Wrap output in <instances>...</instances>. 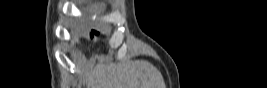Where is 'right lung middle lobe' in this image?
Returning <instances> with one entry per match:
<instances>
[{
    "mask_svg": "<svg viewBox=\"0 0 267 88\" xmlns=\"http://www.w3.org/2000/svg\"><path fill=\"white\" fill-rule=\"evenodd\" d=\"M92 33L95 34V35H98L99 34V32L94 31V30H92ZM93 34H90L91 38L93 37Z\"/></svg>",
    "mask_w": 267,
    "mask_h": 88,
    "instance_id": "right-lung-middle-lobe-1",
    "label": "right lung middle lobe"
}]
</instances>
